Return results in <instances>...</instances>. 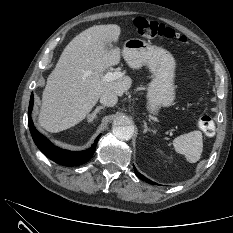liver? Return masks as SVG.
Segmentation results:
<instances>
[{
  "label": "liver",
  "instance_id": "1",
  "mask_svg": "<svg viewBox=\"0 0 233 233\" xmlns=\"http://www.w3.org/2000/svg\"><path fill=\"white\" fill-rule=\"evenodd\" d=\"M120 34L121 28L116 24L96 25L69 42L42 94V128L52 133L71 128L85 119L102 94L122 96L130 88L128 76L111 82L103 80L106 69L120 62V48L112 45Z\"/></svg>",
  "mask_w": 233,
  "mask_h": 233
}]
</instances>
